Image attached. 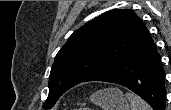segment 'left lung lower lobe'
Segmentation results:
<instances>
[{
	"instance_id": "1",
	"label": "left lung lower lobe",
	"mask_w": 171,
	"mask_h": 110,
	"mask_svg": "<svg viewBox=\"0 0 171 110\" xmlns=\"http://www.w3.org/2000/svg\"><path fill=\"white\" fill-rule=\"evenodd\" d=\"M164 69L150 33L117 65L93 81L117 83L143 98L154 110H165Z\"/></svg>"
}]
</instances>
